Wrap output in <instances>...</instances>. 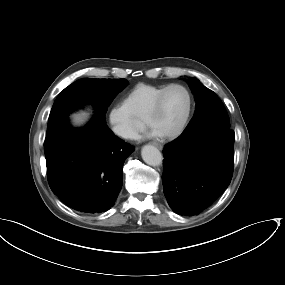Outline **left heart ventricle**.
I'll return each mask as SVG.
<instances>
[{"instance_id":"obj_1","label":"left heart ventricle","mask_w":285,"mask_h":285,"mask_svg":"<svg viewBox=\"0 0 285 285\" xmlns=\"http://www.w3.org/2000/svg\"><path fill=\"white\" fill-rule=\"evenodd\" d=\"M186 107L185 91L179 87L169 89L164 96L161 109L151 119L155 133L164 134L175 130L184 116Z\"/></svg>"}]
</instances>
